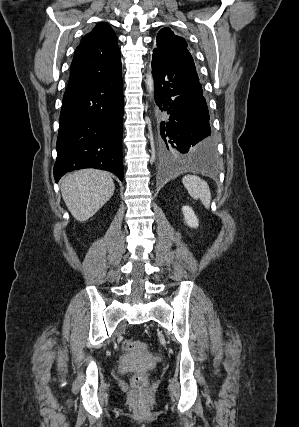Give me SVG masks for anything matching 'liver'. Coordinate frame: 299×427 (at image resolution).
Instances as JSON below:
<instances>
[{
	"label": "liver",
	"instance_id": "6515ba94",
	"mask_svg": "<svg viewBox=\"0 0 299 427\" xmlns=\"http://www.w3.org/2000/svg\"><path fill=\"white\" fill-rule=\"evenodd\" d=\"M63 200L78 221L92 217L112 196L115 185L108 172L96 169H83L62 179Z\"/></svg>",
	"mask_w": 299,
	"mask_h": 427
}]
</instances>
